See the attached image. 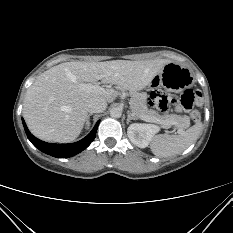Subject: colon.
Wrapping results in <instances>:
<instances>
[{"instance_id":"1","label":"colon","mask_w":233,"mask_h":233,"mask_svg":"<svg viewBox=\"0 0 233 233\" xmlns=\"http://www.w3.org/2000/svg\"><path fill=\"white\" fill-rule=\"evenodd\" d=\"M201 101L202 94L193 89L184 91L180 98L159 91H153L149 97L150 105L161 112H167L171 108L181 107L190 113L191 119L194 122L200 119V113L194 109V105L200 104Z\"/></svg>"}]
</instances>
